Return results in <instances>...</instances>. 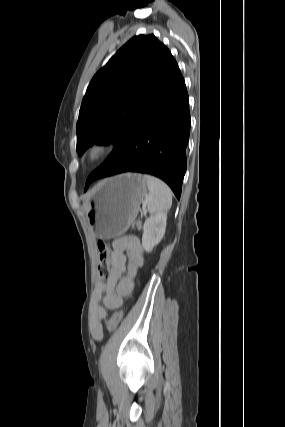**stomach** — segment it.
Returning <instances> with one entry per match:
<instances>
[{"mask_svg": "<svg viewBox=\"0 0 285 427\" xmlns=\"http://www.w3.org/2000/svg\"><path fill=\"white\" fill-rule=\"evenodd\" d=\"M147 192V181L137 173L102 180L83 205L89 225L98 238L122 235L134 222Z\"/></svg>", "mask_w": 285, "mask_h": 427, "instance_id": "obj_1", "label": "stomach"}]
</instances>
